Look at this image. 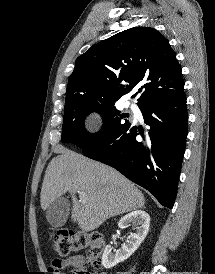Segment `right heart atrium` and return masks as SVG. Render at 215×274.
Returning a JSON list of instances; mask_svg holds the SVG:
<instances>
[{
	"label": "right heart atrium",
	"instance_id": "1",
	"mask_svg": "<svg viewBox=\"0 0 215 274\" xmlns=\"http://www.w3.org/2000/svg\"><path fill=\"white\" fill-rule=\"evenodd\" d=\"M100 126H101L100 115L97 113H92L87 120V124H86L87 130L90 133H96L99 131Z\"/></svg>",
	"mask_w": 215,
	"mask_h": 274
}]
</instances>
